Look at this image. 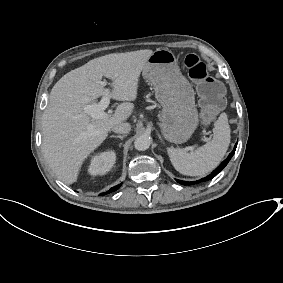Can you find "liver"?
I'll use <instances>...</instances> for the list:
<instances>
[{
    "label": "liver",
    "instance_id": "1",
    "mask_svg": "<svg viewBox=\"0 0 283 283\" xmlns=\"http://www.w3.org/2000/svg\"><path fill=\"white\" fill-rule=\"evenodd\" d=\"M152 53L146 49L95 58L71 70L53 86L42 117V151L59 180L67 185L76 182L85 158L114 126L131 115L134 104L123 102L104 119H92L84 107L100 96L134 101L138 78ZM103 76L112 80L111 92L104 88Z\"/></svg>",
    "mask_w": 283,
    "mask_h": 283
}]
</instances>
